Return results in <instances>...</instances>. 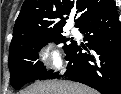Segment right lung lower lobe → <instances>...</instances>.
<instances>
[{
  "label": "right lung lower lobe",
  "instance_id": "obj_1",
  "mask_svg": "<svg viewBox=\"0 0 121 94\" xmlns=\"http://www.w3.org/2000/svg\"><path fill=\"white\" fill-rule=\"evenodd\" d=\"M78 28L85 34L91 52L82 53V47L75 42L66 54L69 63L64 76L102 94H121V25L115 1L84 19ZM58 77V73L50 70L39 80Z\"/></svg>",
  "mask_w": 121,
  "mask_h": 94
}]
</instances>
